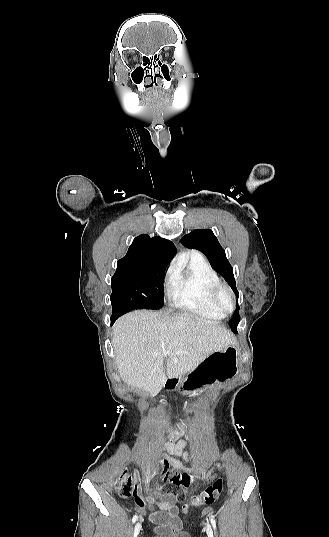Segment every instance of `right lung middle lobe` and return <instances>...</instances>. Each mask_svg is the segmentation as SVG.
<instances>
[{
	"instance_id": "dd1d6c3e",
	"label": "right lung middle lobe",
	"mask_w": 329,
	"mask_h": 537,
	"mask_svg": "<svg viewBox=\"0 0 329 537\" xmlns=\"http://www.w3.org/2000/svg\"><path fill=\"white\" fill-rule=\"evenodd\" d=\"M166 267L167 265L157 264L117 270L111 279V319L116 320L136 307H162Z\"/></svg>"
}]
</instances>
